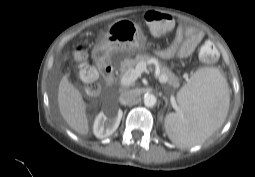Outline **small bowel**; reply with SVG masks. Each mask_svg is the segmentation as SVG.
Instances as JSON below:
<instances>
[{
    "instance_id": "small-bowel-1",
    "label": "small bowel",
    "mask_w": 255,
    "mask_h": 177,
    "mask_svg": "<svg viewBox=\"0 0 255 177\" xmlns=\"http://www.w3.org/2000/svg\"><path fill=\"white\" fill-rule=\"evenodd\" d=\"M204 33L202 30L194 27L179 26L176 29L175 36L171 44L157 54L165 59L173 57L186 58L190 56L196 47L202 42Z\"/></svg>"
}]
</instances>
